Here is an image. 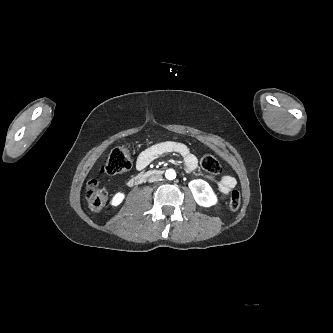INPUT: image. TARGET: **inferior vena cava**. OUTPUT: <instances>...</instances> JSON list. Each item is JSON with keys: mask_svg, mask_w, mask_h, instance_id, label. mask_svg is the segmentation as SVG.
<instances>
[{"mask_svg": "<svg viewBox=\"0 0 333 333\" xmlns=\"http://www.w3.org/2000/svg\"><path fill=\"white\" fill-rule=\"evenodd\" d=\"M162 176L161 175H153L149 178V182H155L161 180Z\"/></svg>", "mask_w": 333, "mask_h": 333, "instance_id": "602c4592", "label": "inferior vena cava"}]
</instances>
